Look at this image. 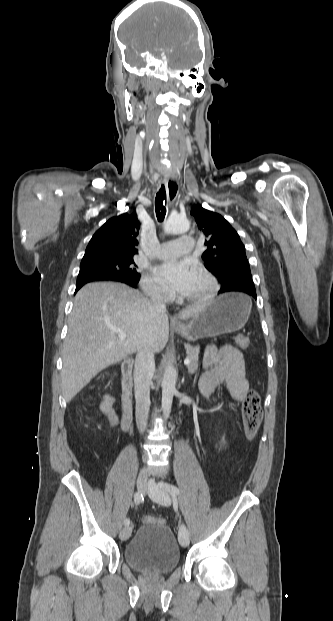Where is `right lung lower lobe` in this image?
<instances>
[{"label":"right lung lower lobe","mask_w":333,"mask_h":621,"mask_svg":"<svg viewBox=\"0 0 333 621\" xmlns=\"http://www.w3.org/2000/svg\"><path fill=\"white\" fill-rule=\"evenodd\" d=\"M101 280H111V281H118V282H122L125 283L127 285H130L134 288L137 287V283H133V282H128L125 280H121V279H104V278H99V277H81L77 279V284H76V290L75 293L86 283L92 282V281H101Z\"/></svg>","instance_id":"obj_1"}]
</instances>
